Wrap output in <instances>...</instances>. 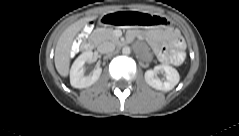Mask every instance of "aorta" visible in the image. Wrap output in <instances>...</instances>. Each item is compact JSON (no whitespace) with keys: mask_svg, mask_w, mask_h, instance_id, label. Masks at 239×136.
<instances>
[{"mask_svg":"<svg viewBox=\"0 0 239 136\" xmlns=\"http://www.w3.org/2000/svg\"><path fill=\"white\" fill-rule=\"evenodd\" d=\"M130 52H131V50H130V48L129 47H123V49H122V53L123 54H125V55H128V54H130Z\"/></svg>","mask_w":239,"mask_h":136,"instance_id":"762f6f07","label":"aorta"}]
</instances>
